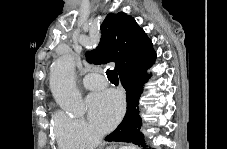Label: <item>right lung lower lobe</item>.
<instances>
[{
  "instance_id": "98d812e1",
  "label": "right lung lower lobe",
  "mask_w": 227,
  "mask_h": 149,
  "mask_svg": "<svg viewBox=\"0 0 227 149\" xmlns=\"http://www.w3.org/2000/svg\"><path fill=\"white\" fill-rule=\"evenodd\" d=\"M154 60L155 58L147 63L132 66L119 74L121 83L126 90L127 111L117 129L105 138L106 141L131 142L146 147L144 136L140 131L141 118L138 103L142 86L149 78L145 71L152 66Z\"/></svg>"
}]
</instances>
